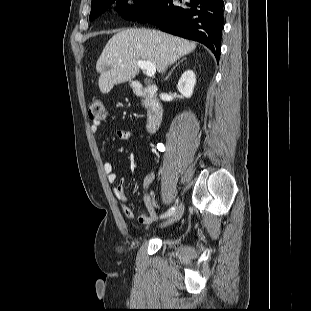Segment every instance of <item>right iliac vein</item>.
<instances>
[{"instance_id": "1", "label": "right iliac vein", "mask_w": 311, "mask_h": 311, "mask_svg": "<svg viewBox=\"0 0 311 311\" xmlns=\"http://www.w3.org/2000/svg\"><path fill=\"white\" fill-rule=\"evenodd\" d=\"M183 213H184V206H183V204H180V205L176 208L174 214H173L171 217H169L166 221H164L163 223H161L160 226H161V227L167 226V225H170V224H172V223L178 221V220L182 217Z\"/></svg>"}]
</instances>
